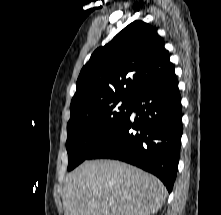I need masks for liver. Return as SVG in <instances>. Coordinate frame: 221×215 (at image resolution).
<instances>
[{"label": "liver", "instance_id": "6515ba94", "mask_svg": "<svg viewBox=\"0 0 221 215\" xmlns=\"http://www.w3.org/2000/svg\"><path fill=\"white\" fill-rule=\"evenodd\" d=\"M167 196L155 176L113 160L86 161L67 175L65 215H150Z\"/></svg>", "mask_w": 221, "mask_h": 215}]
</instances>
